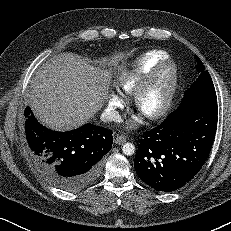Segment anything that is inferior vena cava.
I'll list each match as a JSON object with an SVG mask.
<instances>
[{
    "label": "inferior vena cava",
    "instance_id": "inferior-vena-cava-1",
    "mask_svg": "<svg viewBox=\"0 0 231 231\" xmlns=\"http://www.w3.org/2000/svg\"><path fill=\"white\" fill-rule=\"evenodd\" d=\"M120 119L121 117L117 111H105L101 115V120L104 122H118Z\"/></svg>",
    "mask_w": 231,
    "mask_h": 231
}]
</instances>
